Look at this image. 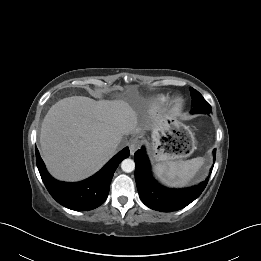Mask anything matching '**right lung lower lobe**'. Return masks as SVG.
I'll use <instances>...</instances> for the list:
<instances>
[{
  "label": "right lung lower lobe",
  "instance_id": "1",
  "mask_svg": "<svg viewBox=\"0 0 261 261\" xmlns=\"http://www.w3.org/2000/svg\"><path fill=\"white\" fill-rule=\"evenodd\" d=\"M129 155V148L126 147L95 175L76 183L60 182L52 178L37 148L36 163L47 190L58 203L72 210L88 211L97 208L107 199L113 174L121 161Z\"/></svg>",
  "mask_w": 261,
  "mask_h": 261
}]
</instances>
